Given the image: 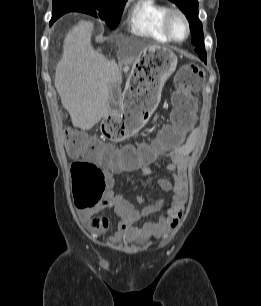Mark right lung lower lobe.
I'll return each mask as SVG.
<instances>
[{
	"label": "right lung lower lobe",
	"mask_w": 261,
	"mask_h": 306,
	"mask_svg": "<svg viewBox=\"0 0 261 306\" xmlns=\"http://www.w3.org/2000/svg\"><path fill=\"white\" fill-rule=\"evenodd\" d=\"M54 21H55V20L51 19V22H50V24H52V23H53Z\"/></svg>",
	"instance_id": "obj_1"
}]
</instances>
